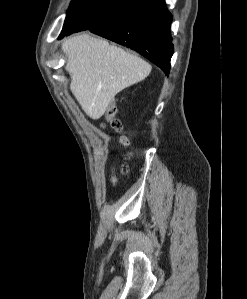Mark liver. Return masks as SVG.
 Masks as SVG:
<instances>
[{"label": "liver", "mask_w": 247, "mask_h": 299, "mask_svg": "<svg viewBox=\"0 0 247 299\" xmlns=\"http://www.w3.org/2000/svg\"><path fill=\"white\" fill-rule=\"evenodd\" d=\"M70 90L91 119H99L123 89L144 80L151 65L108 41L87 33L65 40Z\"/></svg>", "instance_id": "liver-1"}]
</instances>
